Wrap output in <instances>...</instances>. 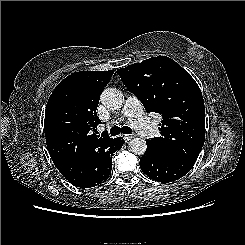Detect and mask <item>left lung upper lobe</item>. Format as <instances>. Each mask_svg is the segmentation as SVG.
Masks as SVG:
<instances>
[{"instance_id":"5c2ea615","label":"left lung upper lobe","mask_w":245,"mask_h":245,"mask_svg":"<svg viewBox=\"0 0 245 245\" xmlns=\"http://www.w3.org/2000/svg\"><path fill=\"white\" fill-rule=\"evenodd\" d=\"M117 73L148 113L163 116L161 136L147 139V148L167 158L196 161L205 140V107L192 76L166 56L129 65Z\"/></svg>"}]
</instances>
